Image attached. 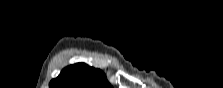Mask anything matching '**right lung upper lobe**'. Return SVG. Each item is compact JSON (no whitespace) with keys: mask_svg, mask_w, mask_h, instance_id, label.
<instances>
[{"mask_svg":"<svg viewBox=\"0 0 223 88\" xmlns=\"http://www.w3.org/2000/svg\"><path fill=\"white\" fill-rule=\"evenodd\" d=\"M50 88H110L105 74L84 63L66 67L50 82Z\"/></svg>","mask_w":223,"mask_h":88,"instance_id":"obj_1","label":"right lung upper lobe"}]
</instances>
